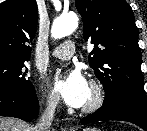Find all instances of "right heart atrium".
<instances>
[{"label": "right heart atrium", "mask_w": 147, "mask_h": 131, "mask_svg": "<svg viewBox=\"0 0 147 131\" xmlns=\"http://www.w3.org/2000/svg\"><path fill=\"white\" fill-rule=\"evenodd\" d=\"M43 104L46 112L53 113L57 107V99L51 93H44Z\"/></svg>", "instance_id": "1"}]
</instances>
